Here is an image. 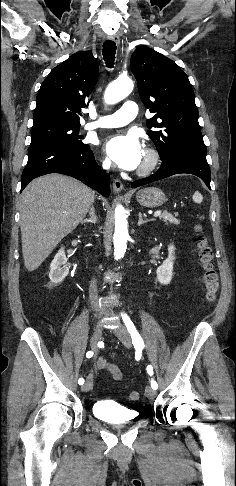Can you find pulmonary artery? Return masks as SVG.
Wrapping results in <instances>:
<instances>
[{"instance_id":"e3ab8cb5","label":"pulmonary artery","mask_w":236,"mask_h":486,"mask_svg":"<svg viewBox=\"0 0 236 486\" xmlns=\"http://www.w3.org/2000/svg\"><path fill=\"white\" fill-rule=\"evenodd\" d=\"M138 113L137 104L133 101H126L123 106L113 114L99 117L95 122L88 123L86 129L114 128L127 125Z\"/></svg>"}]
</instances>
